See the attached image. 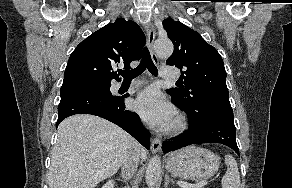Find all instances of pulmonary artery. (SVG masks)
<instances>
[{
    "mask_svg": "<svg viewBox=\"0 0 292 188\" xmlns=\"http://www.w3.org/2000/svg\"><path fill=\"white\" fill-rule=\"evenodd\" d=\"M161 77L164 79H175L177 78V71L173 67H162L161 68ZM141 82L134 80L132 85H140Z\"/></svg>",
    "mask_w": 292,
    "mask_h": 188,
    "instance_id": "pulmonary-artery-1",
    "label": "pulmonary artery"
}]
</instances>
